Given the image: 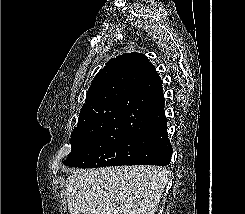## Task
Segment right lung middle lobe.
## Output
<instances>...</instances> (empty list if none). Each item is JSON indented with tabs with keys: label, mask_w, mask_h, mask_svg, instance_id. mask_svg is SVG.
Returning <instances> with one entry per match:
<instances>
[{
	"label": "right lung middle lobe",
	"mask_w": 245,
	"mask_h": 214,
	"mask_svg": "<svg viewBox=\"0 0 245 214\" xmlns=\"http://www.w3.org/2000/svg\"><path fill=\"white\" fill-rule=\"evenodd\" d=\"M128 137V128L121 127L107 132L71 134V153L63 164L69 167L97 168L116 166L119 163L117 147Z\"/></svg>",
	"instance_id": "dd1d6c3e"
}]
</instances>
